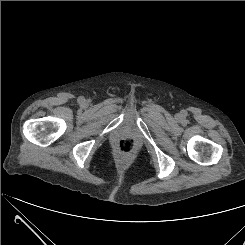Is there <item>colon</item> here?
<instances>
[{
	"label": "colon",
	"mask_w": 245,
	"mask_h": 245,
	"mask_svg": "<svg viewBox=\"0 0 245 245\" xmlns=\"http://www.w3.org/2000/svg\"><path fill=\"white\" fill-rule=\"evenodd\" d=\"M117 154L123 158L132 157L135 154L136 146L132 139H122L118 141L116 146Z\"/></svg>",
	"instance_id": "5ec220e1"
}]
</instances>
